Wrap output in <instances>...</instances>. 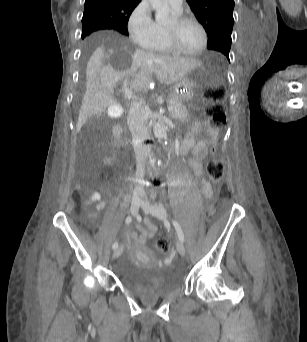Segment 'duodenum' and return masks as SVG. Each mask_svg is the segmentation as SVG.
Wrapping results in <instances>:
<instances>
[{
  "label": "duodenum",
  "instance_id": "duodenum-1",
  "mask_svg": "<svg viewBox=\"0 0 307 342\" xmlns=\"http://www.w3.org/2000/svg\"><path fill=\"white\" fill-rule=\"evenodd\" d=\"M113 134H114V137L116 138V140L120 144H122L124 142L123 132H122V128L120 126H116L114 128Z\"/></svg>",
  "mask_w": 307,
  "mask_h": 342
}]
</instances>
